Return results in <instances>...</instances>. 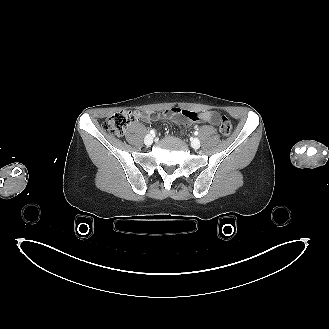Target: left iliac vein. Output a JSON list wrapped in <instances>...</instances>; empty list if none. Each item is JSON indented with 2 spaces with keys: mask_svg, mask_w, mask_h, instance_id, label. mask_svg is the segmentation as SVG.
I'll return each instance as SVG.
<instances>
[{
  "mask_svg": "<svg viewBox=\"0 0 329 329\" xmlns=\"http://www.w3.org/2000/svg\"><path fill=\"white\" fill-rule=\"evenodd\" d=\"M191 146H192L194 149H198V148H200V146H201L200 140H199L198 138H194V139L191 141Z\"/></svg>",
  "mask_w": 329,
  "mask_h": 329,
  "instance_id": "left-iliac-vein-1",
  "label": "left iliac vein"
}]
</instances>
